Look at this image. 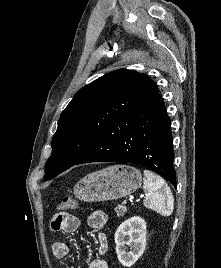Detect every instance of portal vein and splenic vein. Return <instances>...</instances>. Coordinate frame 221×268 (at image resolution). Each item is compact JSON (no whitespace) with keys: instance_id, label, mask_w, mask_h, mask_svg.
Returning <instances> with one entry per match:
<instances>
[{"instance_id":"obj_1","label":"portal vein and splenic vein","mask_w":221,"mask_h":268,"mask_svg":"<svg viewBox=\"0 0 221 268\" xmlns=\"http://www.w3.org/2000/svg\"><path fill=\"white\" fill-rule=\"evenodd\" d=\"M141 197H144V195H142ZM140 201V199H137V202H139ZM131 204H133V201H131Z\"/></svg>"}]
</instances>
